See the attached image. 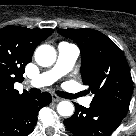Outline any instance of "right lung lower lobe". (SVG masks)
<instances>
[{
	"instance_id": "right-lung-lower-lobe-1",
	"label": "right lung lower lobe",
	"mask_w": 136,
	"mask_h": 136,
	"mask_svg": "<svg viewBox=\"0 0 136 136\" xmlns=\"http://www.w3.org/2000/svg\"><path fill=\"white\" fill-rule=\"evenodd\" d=\"M51 95H26L15 104L0 110V136H27L37 122V113L51 103Z\"/></svg>"
}]
</instances>
